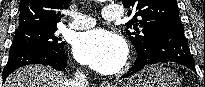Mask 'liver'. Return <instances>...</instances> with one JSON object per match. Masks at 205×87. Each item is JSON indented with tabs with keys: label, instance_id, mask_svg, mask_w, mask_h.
I'll list each match as a JSON object with an SVG mask.
<instances>
[{
	"label": "liver",
	"instance_id": "liver-1",
	"mask_svg": "<svg viewBox=\"0 0 205 87\" xmlns=\"http://www.w3.org/2000/svg\"><path fill=\"white\" fill-rule=\"evenodd\" d=\"M63 75L49 66L29 65L12 73L4 87H67Z\"/></svg>",
	"mask_w": 205,
	"mask_h": 87
}]
</instances>
